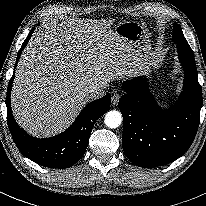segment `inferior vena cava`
<instances>
[{"mask_svg": "<svg viewBox=\"0 0 206 206\" xmlns=\"http://www.w3.org/2000/svg\"><path fill=\"white\" fill-rule=\"evenodd\" d=\"M105 94L104 90L102 88H98V87H93L91 89H89L88 91V97L89 99H98L103 97Z\"/></svg>", "mask_w": 206, "mask_h": 206, "instance_id": "602c4592", "label": "inferior vena cava"}]
</instances>
